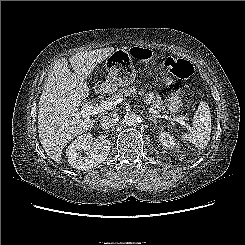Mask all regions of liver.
I'll list each match as a JSON object with an SVG mask.
<instances>
[{
	"instance_id": "obj_1",
	"label": "liver",
	"mask_w": 245,
	"mask_h": 245,
	"mask_svg": "<svg viewBox=\"0 0 245 245\" xmlns=\"http://www.w3.org/2000/svg\"><path fill=\"white\" fill-rule=\"evenodd\" d=\"M113 52L114 47H107L76 53L69 58L74 73L67 59L55 62L40 96L38 133L44 151L56 163H60L63 148L71 139L93 127L97 118L76 115L79 105L89 95L85 79Z\"/></svg>"
}]
</instances>
